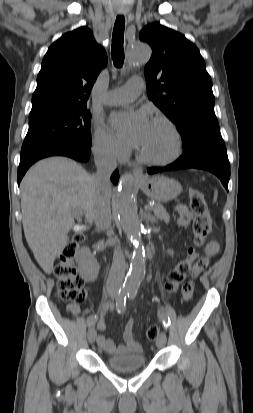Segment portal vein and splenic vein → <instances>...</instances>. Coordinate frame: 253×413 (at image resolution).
<instances>
[{
	"label": "portal vein and splenic vein",
	"instance_id": "1",
	"mask_svg": "<svg viewBox=\"0 0 253 413\" xmlns=\"http://www.w3.org/2000/svg\"><path fill=\"white\" fill-rule=\"evenodd\" d=\"M146 208L149 209V210H153V206L151 204L146 205ZM74 214H75V216H81L82 212L79 211V210H75Z\"/></svg>",
	"mask_w": 253,
	"mask_h": 413
}]
</instances>
